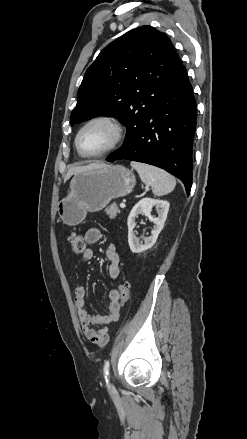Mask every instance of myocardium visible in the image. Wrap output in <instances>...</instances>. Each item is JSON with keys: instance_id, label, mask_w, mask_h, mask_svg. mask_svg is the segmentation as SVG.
Here are the masks:
<instances>
[{"instance_id": "obj_1", "label": "myocardium", "mask_w": 247, "mask_h": 439, "mask_svg": "<svg viewBox=\"0 0 247 439\" xmlns=\"http://www.w3.org/2000/svg\"><path fill=\"white\" fill-rule=\"evenodd\" d=\"M95 123H105L107 125H109L111 127V129L113 130V140L110 143V145L108 147H106L105 149L96 152V153H92V154H86L81 150L79 141H80V137L82 135V133L92 124ZM125 138V128L122 124V122L115 116L112 115H107V114H101V115H96L92 118H90L89 120H87L82 127L79 129L76 138H75V146L76 149L78 151V153L86 158H97V157H101L103 155H106L107 153L115 150L124 140Z\"/></svg>"}]
</instances>
